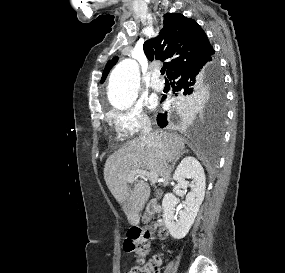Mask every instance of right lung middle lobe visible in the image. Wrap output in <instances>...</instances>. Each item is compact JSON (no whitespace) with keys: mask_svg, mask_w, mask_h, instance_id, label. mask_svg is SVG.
Masks as SVG:
<instances>
[{"mask_svg":"<svg viewBox=\"0 0 285 273\" xmlns=\"http://www.w3.org/2000/svg\"><path fill=\"white\" fill-rule=\"evenodd\" d=\"M223 80L222 75L219 71L218 62L215 60L214 65L211 69L208 79L198 90L195 91L194 94L190 95H180L179 103L180 105L193 102L195 97L201 95H208L211 94L213 96L223 97ZM221 101V100H220ZM217 109L216 113L220 119L224 117V108L221 106L219 102H217Z\"/></svg>","mask_w":285,"mask_h":273,"instance_id":"obj_1","label":"right lung middle lobe"}]
</instances>
